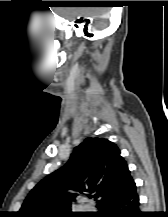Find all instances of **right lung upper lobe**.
Returning a JSON list of instances; mask_svg holds the SVG:
<instances>
[{
  "mask_svg": "<svg viewBox=\"0 0 168 217\" xmlns=\"http://www.w3.org/2000/svg\"><path fill=\"white\" fill-rule=\"evenodd\" d=\"M136 187L127 163L118 147L107 139L86 138L77 146L69 161L46 176L28 194L19 217H53L96 213L71 212V198L78 193L96 192V207L101 209L113 199L128 194Z\"/></svg>",
  "mask_w": 168,
  "mask_h": 217,
  "instance_id": "right-lung-upper-lobe-1",
  "label": "right lung upper lobe"
}]
</instances>
